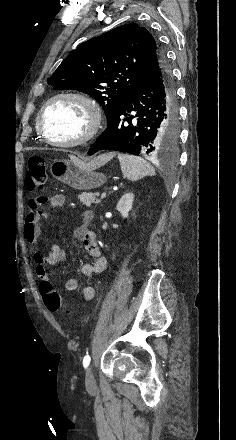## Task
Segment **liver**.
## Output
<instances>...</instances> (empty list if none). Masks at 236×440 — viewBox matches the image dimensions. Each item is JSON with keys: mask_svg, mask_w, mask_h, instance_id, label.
Segmentation results:
<instances>
[{"mask_svg": "<svg viewBox=\"0 0 236 440\" xmlns=\"http://www.w3.org/2000/svg\"><path fill=\"white\" fill-rule=\"evenodd\" d=\"M114 156V154L109 153V154H104L101 155L97 158H95L94 160H92L91 162L87 163V165L91 168H98L101 167L102 165H104L107 161H109L112 157ZM71 159H75V160H79L77 159L75 156L70 155ZM80 161V160H79Z\"/></svg>", "mask_w": 236, "mask_h": 440, "instance_id": "obj_1", "label": "liver"}]
</instances>
